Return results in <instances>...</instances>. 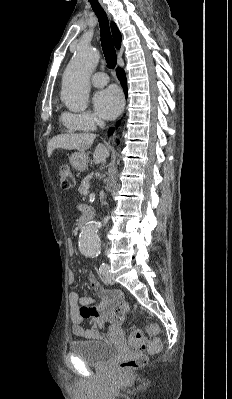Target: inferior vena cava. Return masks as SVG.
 Listing matches in <instances>:
<instances>
[{
  "instance_id": "obj_1",
  "label": "inferior vena cava",
  "mask_w": 232,
  "mask_h": 399,
  "mask_svg": "<svg viewBox=\"0 0 232 399\" xmlns=\"http://www.w3.org/2000/svg\"><path fill=\"white\" fill-rule=\"evenodd\" d=\"M97 126H100V128H104L105 122H102V120H96Z\"/></svg>"
}]
</instances>
